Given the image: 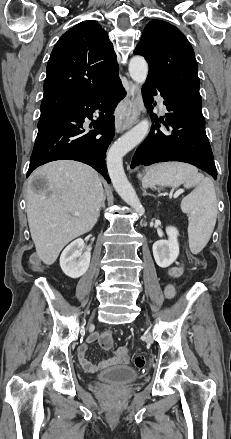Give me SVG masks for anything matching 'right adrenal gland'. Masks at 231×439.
<instances>
[{
  "mask_svg": "<svg viewBox=\"0 0 231 439\" xmlns=\"http://www.w3.org/2000/svg\"><path fill=\"white\" fill-rule=\"evenodd\" d=\"M105 199H106V196H105V194H103V200H102V203H101V208H105Z\"/></svg>",
  "mask_w": 231,
  "mask_h": 439,
  "instance_id": "1",
  "label": "right adrenal gland"
}]
</instances>
